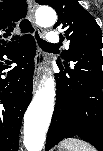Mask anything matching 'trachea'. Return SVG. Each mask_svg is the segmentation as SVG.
<instances>
[{
    "label": "trachea",
    "instance_id": "obj_1",
    "mask_svg": "<svg viewBox=\"0 0 103 151\" xmlns=\"http://www.w3.org/2000/svg\"><path fill=\"white\" fill-rule=\"evenodd\" d=\"M20 27L22 32H33L34 29L32 28L30 22L27 19H24L21 23H20ZM35 38L39 44V46L44 49L47 50L49 48H53L55 47L54 44L48 43L45 40L41 39L38 35V32H35Z\"/></svg>",
    "mask_w": 103,
    "mask_h": 151
}]
</instances>
